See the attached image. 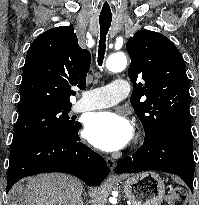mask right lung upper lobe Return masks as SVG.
<instances>
[{"instance_id": "right-lung-upper-lobe-1", "label": "right lung upper lobe", "mask_w": 199, "mask_h": 205, "mask_svg": "<svg viewBox=\"0 0 199 205\" xmlns=\"http://www.w3.org/2000/svg\"><path fill=\"white\" fill-rule=\"evenodd\" d=\"M91 55L78 44L72 26L40 34L28 49L20 85L19 113L40 107L72 105L71 86H86Z\"/></svg>"}]
</instances>
